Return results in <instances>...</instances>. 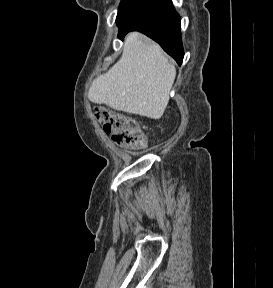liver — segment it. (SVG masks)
<instances>
[{
    "label": "liver",
    "instance_id": "liver-1",
    "mask_svg": "<svg viewBox=\"0 0 273 288\" xmlns=\"http://www.w3.org/2000/svg\"><path fill=\"white\" fill-rule=\"evenodd\" d=\"M175 77V66L160 46L132 32L125 38L121 58L93 81L88 98L117 111L160 119Z\"/></svg>",
    "mask_w": 273,
    "mask_h": 288
}]
</instances>
